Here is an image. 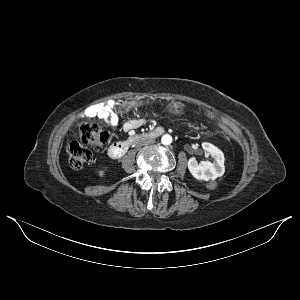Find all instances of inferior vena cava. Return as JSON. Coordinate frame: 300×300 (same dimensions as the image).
I'll list each match as a JSON object with an SVG mask.
<instances>
[{
  "label": "inferior vena cava",
  "mask_w": 300,
  "mask_h": 300,
  "mask_svg": "<svg viewBox=\"0 0 300 300\" xmlns=\"http://www.w3.org/2000/svg\"><path fill=\"white\" fill-rule=\"evenodd\" d=\"M156 139L155 138H153V137H150V138H148V137H146V138H144V139H141L140 141H139V144L141 145V146H144V147H146V146H153V145H155L156 144Z\"/></svg>",
  "instance_id": "obj_1"
}]
</instances>
